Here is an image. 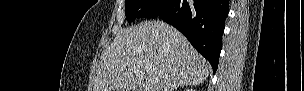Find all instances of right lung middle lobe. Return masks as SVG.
Here are the masks:
<instances>
[{"mask_svg":"<svg viewBox=\"0 0 304 91\" xmlns=\"http://www.w3.org/2000/svg\"><path fill=\"white\" fill-rule=\"evenodd\" d=\"M170 0H126L125 12L128 22L136 18H156Z\"/></svg>","mask_w":304,"mask_h":91,"instance_id":"dd1d6c3e","label":"right lung middle lobe"}]
</instances>
